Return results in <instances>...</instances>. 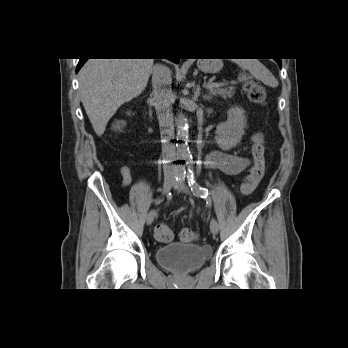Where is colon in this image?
<instances>
[{"mask_svg": "<svg viewBox=\"0 0 348 348\" xmlns=\"http://www.w3.org/2000/svg\"><path fill=\"white\" fill-rule=\"evenodd\" d=\"M242 81L247 91L249 99L254 103H262L265 101V89L258 83L252 81L247 75H242ZM265 144L264 137L261 133H255L252 136V164L247 172L246 181L241 186V192L248 195L253 192L257 182L265 172ZM155 238L161 242H169L173 238V233L168 225L160 223L155 227ZM197 238L194 231L188 228L182 229L180 239L183 242H191Z\"/></svg>", "mask_w": 348, "mask_h": 348, "instance_id": "5ec220e1", "label": "colon"}]
</instances>
